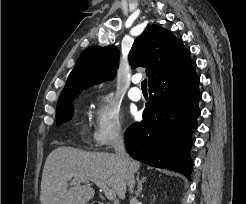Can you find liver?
Wrapping results in <instances>:
<instances>
[{"mask_svg": "<svg viewBox=\"0 0 246 204\" xmlns=\"http://www.w3.org/2000/svg\"><path fill=\"white\" fill-rule=\"evenodd\" d=\"M136 173L140 162L128 158ZM73 178V187L68 182ZM84 180H99L112 188L120 199L126 194V172L115 154L58 147L48 157L41 180V204H86L95 194ZM82 183V184H81Z\"/></svg>", "mask_w": 246, "mask_h": 204, "instance_id": "liver-1", "label": "liver"}]
</instances>
